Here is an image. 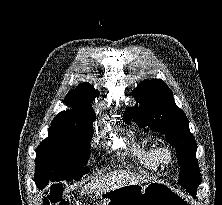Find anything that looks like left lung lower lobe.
Segmentation results:
<instances>
[{"instance_id":"0a47b994","label":"left lung lower lobe","mask_w":222,"mask_h":205,"mask_svg":"<svg viewBox=\"0 0 222 205\" xmlns=\"http://www.w3.org/2000/svg\"><path fill=\"white\" fill-rule=\"evenodd\" d=\"M187 191L196 198V190H193L192 188L187 189Z\"/></svg>"}]
</instances>
